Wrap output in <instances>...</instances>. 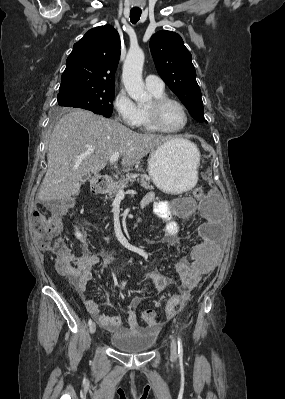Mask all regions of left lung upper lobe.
<instances>
[{"label": "left lung upper lobe", "mask_w": 285, "mask_h": 399, "mask_svg": "<svg viewBox=\"0 0 285 399\" xmlns=\"http://www.w3.org/2000/svg\"><path fill=\"white\" fill-rule=\"evenodd\" d=\"M152 57L160 77L178 96L191 116L199 122H207L201 91L196 81L192 56L181 36L175 32L161 30L149 42Z\"/></svg>", "instance_id": "left-lung-upper-lobe-1"}]
</instances>
